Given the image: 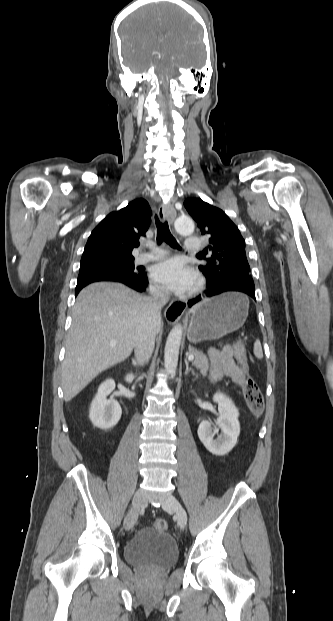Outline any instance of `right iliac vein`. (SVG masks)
Masks as SVG:
<instances>
[{"label":"right iliac vein","mask_w":333,"mask_h":621,"mask_svg":"<svg viewBox=\"0 0 333 621\" xmlns=\"http://www.w3.org/2000/svg\"><path fill=\"white\" fill-rule=\"evenodd\" d=\"M144 501H145L144 492L143 490L138 489L136 493L134 494V497L132 500V508L124 520V527L126 530H130L135 525L137 517H138V511L141 508V506L144 504Z\"/></svg>","instance_id":"63e3f726"}]
</instances>
